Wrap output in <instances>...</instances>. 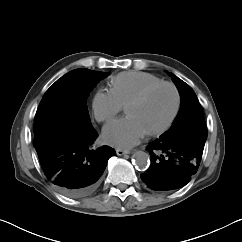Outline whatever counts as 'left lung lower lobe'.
Instances as JSON below:
<instances>
[{"mask_svg": "<svg viewBox=\"0 0 242 242\" xmlns=\"http://www.w3.org/2000/svg\"><path fill=\"white\" fill-rule=\"evenodd\" d=\"M205 142H173L158 138L146 150L150 153L149 169L142 181L152 190L170 191L185 186L197 172Z\"/></svg>", "mask_w": 242, "mask_h": 242, "instance_id": "left-lung-lower-lobe-1", "label": "left lung lower lobe"}]
</instances>
